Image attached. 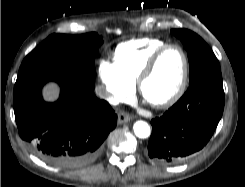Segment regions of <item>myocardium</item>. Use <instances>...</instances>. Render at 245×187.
Segmentation results:
<instances>
[{
  "mask_svg": "<svg viewBox=\"0 0 245 187\" xmlns=\"http://www.w3.org/2000/svg\"><path fill=\"white\" fill-rule=\"evenodd\" d=\"M170 49H177L183 60V70L180 82L176 90L165 100L157 102V103H150V105L156 109H167L177 103L180 98L184 95L188 80H189V60L185 50L178 44H167L160 49H158L145 63L144 67L140 71L137 80H136V88L139 94L143 97V85L147 81V79L153 73L159 59Z\"/></svg>",
  "mask_w": 245,
  "mask_h": 187,
  "instance_id": "f54148a6",
  "label": "myocardium"
}]
</instances>
